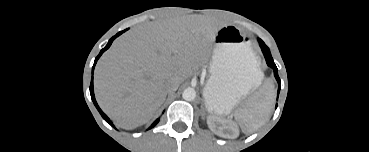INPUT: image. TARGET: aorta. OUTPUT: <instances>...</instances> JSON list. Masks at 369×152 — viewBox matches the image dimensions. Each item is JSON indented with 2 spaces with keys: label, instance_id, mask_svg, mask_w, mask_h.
<instances>
[{
  "label": "aorta",
  "instance_id": "1",
  "mask_svg": "<svg viewBox=\"0 0 369 152\" xmlns=\"http://www.w3.org/2000/svg\"><path fill=\"white\" fill-rule=\"evenodd\" d=\"M182 97L186 101H193L196 97V91L193 88H187L183 91Z\"/></svg>",
  "mask_w": 369,
  "mask_h": 152
}]
</instances>
